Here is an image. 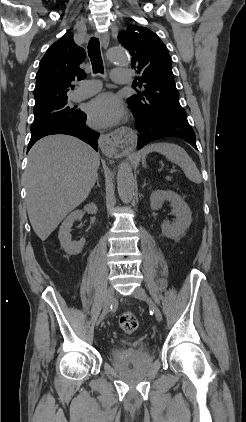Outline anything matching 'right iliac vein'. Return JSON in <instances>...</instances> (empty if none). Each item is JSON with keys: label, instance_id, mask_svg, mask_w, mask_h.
I'll list each match as a JSON object with an SVG mask.
<instances>
[{"label": "right iliac vein", "instance_id": "right-iliac-vein-1", "mask_svg": "<svg viewBox=\"0 0 246 422\" xmlns=\"http://www.w3.org/2000/svg\"><path fill=\"white\" fill-rule=\"evenodd\" d=\"M114 302H115V292H114L113 287H109L106 292V297H105L102 313L97 320V325L103 322V320L105 319V317L110 311V307L114 304Z\"/></svg>", "mask_w": 246, "mask_h": 422}]
</instances>
